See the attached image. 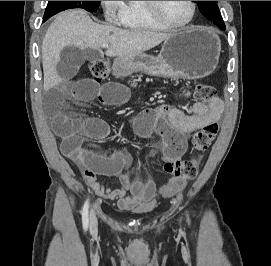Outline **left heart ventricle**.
<instances>
[{"instance_id":"obj_1","label":"left heart ventricle","mask_w":271,"mask_h":266,"mask_svg":"<svg viewBox=\"0 0 271 266\" xmlns=\"http://www.w3.org/2000/svg\"><path fill=\"white\" fill-rule=\"evenodd\" d=\"M161 14L175 24L185 23L191 15L189 1H158Z\"/></svg>"}]
</instances>
